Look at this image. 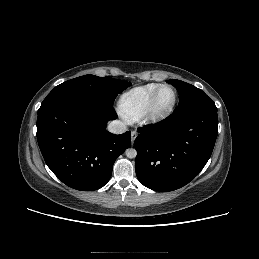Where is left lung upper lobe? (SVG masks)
<instances>
[{
	"label": "left lung upper lobe",
	"instance_id": "5c2ea615",
	"mask_svg": "<svg viewBox=\"0 0 259 259\" xmlns=\"http://www.w3.org/2000/svg\"><path fill=\"white\" fill-rule=\"evenodd\" d=\"M167 82L174 85L180 95L179 104L175 110H181L193 106L216 107L213 100L201 89L176 79H171Z\"/></svg>",
	"mask_w": 259,
	"mask_h": 259
}]
</instances>
